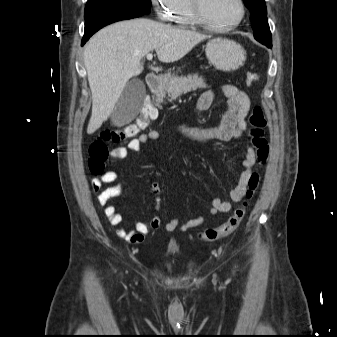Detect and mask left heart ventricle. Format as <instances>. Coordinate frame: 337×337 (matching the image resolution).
I'll return each instance as SVG.
<instances>
[{
	"mask_svg": "<svg viewBox=\"0 0 337 337\" xmlns=\"http://www.w3.org/2000/svg\"><path fill=\"white\" fill-rule=\"evenodd\" d=\"M202 9L205 16L218 25L231 24L240 15L237 0H202Z\"/></svg>",
	"mask_w": 337,
	"mask_h": 337,
	"instance_id": "obj_1",
	"label": "left heart ventricle"
}]
</instances>
